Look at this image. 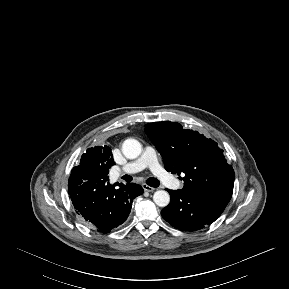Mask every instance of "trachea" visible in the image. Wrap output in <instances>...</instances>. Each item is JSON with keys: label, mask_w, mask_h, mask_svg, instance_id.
Returning <instances> with one entry per match:
<instances>
[{"label": "trachea", "mask_w": 289, "mask_h": 289, "mask_svg": "<svg viewBox=\"0 0 289 289\" xmlns=\"http://www.w3.org/2000/svg\"><path fill=\"white\" fill-rule=\"evenodd\" d=\"M122 179H124L126 182H131L132 177L130 175H124ZM146 182L151 187H158L160 185L159 180L154 177L148 178Z\"/></svg>", "instance_id": "1"}]
</instances>
